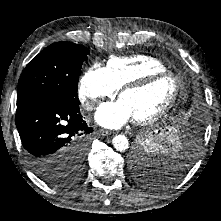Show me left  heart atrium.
<instances>
[{"instance_id":"obj_1","label":"left heart atrium","mask_w":221,"mask_h":221,"mask_svg":"<svg viewBox=\"0 0 221 221\" xmlns=\"http://www.w3.org/2000/svg\"><path fill=\"white\" fill-rule=\"evenodd\" d=\"M95 119L106 128H120L132 119V114L120 99L116 102L103 103L98 108Z\"/></svg>"}]
</instances>
